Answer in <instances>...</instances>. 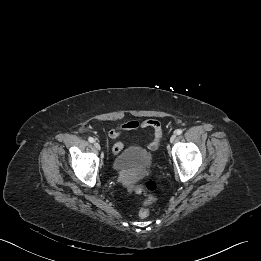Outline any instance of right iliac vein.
Instances as JSON below:
<instances>
[{
  "instance_id": "obj_1",
  "label": "right iliac vein",
  "mask_w": 261,
  "mask_h": 261,
  "mask_svg": "<svg viewBox=\"0 0 261 261\" xmlns=\"http://www.w3.org/2000/svg\"><path fill=\"white\" fill-rule=\"evenodd\" d=\"M94 146H95V148H96L97 150H100V149H101L99 142H95V143H94Z\"/></svg>"
}]
</instances>
